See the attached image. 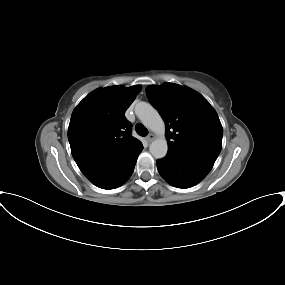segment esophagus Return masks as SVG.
Wrapping results in <instances>:
<instances>
[{
	"label": "esophagus",
	"mask_w": 285,
	"mask_h": 285,
	"mask_svg": "<svg viewBox=\"0 0 285 285\" xmlns=\"http://www.w3.org/2000/svg\"><path fill=\"white\" fill-rule=\"evenodd\" d=\"M155 139V136L154 134L150 133L147 137H146V140L148 142H152L153 140Z\"/></svg>",
	"instance_id": "34e87169"
}]
</instances>
